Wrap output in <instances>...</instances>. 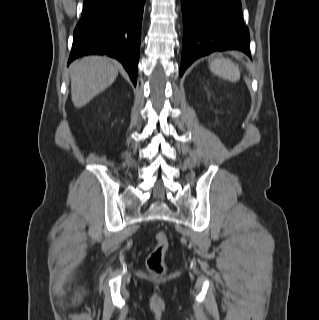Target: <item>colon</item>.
Masks as SVG:
<instances>
[{
	"label": "colon",
	"mask_w": 319,
	"mask_h": 320,
	"mask_svg": "<svg viewBox=\"0 0 319 320\" xmlns=\"http://www.w3.org/2000/svg\"><path fill=\"white\" fill-rule=\"evenodd\" d=\"M156 244L147 258V267L152 274L161 275L165 271L164 256L169 247L165 232L155 234Z\"/></svg>",
	"instance_id": "1"
}]
</instances>
